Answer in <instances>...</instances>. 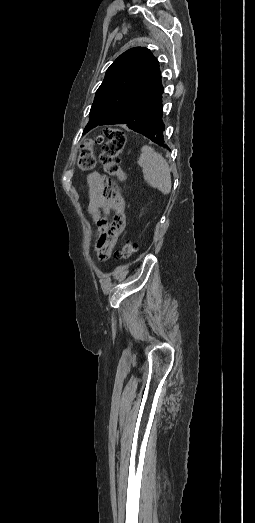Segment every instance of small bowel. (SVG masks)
<instances>
[{
	"label": "small bowel",
	"mask_w": 255,
	"mask_h": 523,
	"mask_svg": "<svg viewBox=\"0 0 255 523\" xmlns=\"http://www.w3.org/2000/svg\"><path fill=\"white\" fill-rule=\"evenodd\" d=\"M89 197L87 212L96 225L95 250L100 261L113 254L118 239L125 229V202L117 186L94 172L88 176ZM112 220L109 221V214Z\"/></svg>",
	"instance_id": "obj_1"
}]
</instances>
